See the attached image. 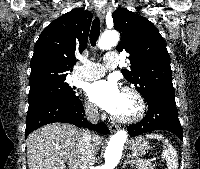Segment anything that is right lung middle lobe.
Masks as SVG:
<instances>
[{
	"instance_id": "right-lung-middle-lobe-1",
	"label": "right lung middle lobe",
	"mask_w": 200,
	"mask_h": 169,
	"mask_svg": "<svg viewBox=\"0 0 200 169\" xmlns=\"http://www.w3.org/2000/svg\"><path fill=\"white\" fill-rule=\"evenodd\" d=\"M75 97L76 95L73 88L65 82V79H51L30 86L28 101L29 104L52 99L71 101Z\"/></svg>"
}]
</instances>
